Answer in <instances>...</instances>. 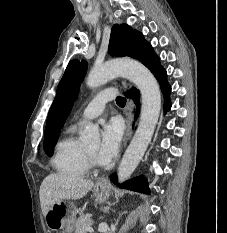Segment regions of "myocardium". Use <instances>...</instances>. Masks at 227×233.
<instances>
[{"instance_id": "myocardium-1", "label": "myocardium", "mask_w": 227, "mask_h": 233, "mask_svg": "<svg viewBox=\"0 0 227 233\" xmlns=\"http://www.w3.org/2000/svg\"><path fill=\"white\" fill-rule=\"evenodd\" d=\"M85 153L89 167L100 169L103 166L102 163L98 161L95 155L91 154L88 150H85Z\"/></svg>"}]
</instances>
